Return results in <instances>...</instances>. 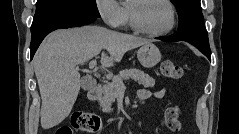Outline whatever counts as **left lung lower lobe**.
Instances as JSON below:
<instances>
[{
    "label": "left lung lower lobe",
    "instance_id": "left-lung-lower-lobe-1",
    "mask_svg": "<svg viewBox=\"0 0 239 134\" xmlns=\"http://www.w3.org/2000/svg\"><path fill=\"white\" fill-rule=\"evenodd\" d=\"M162 41L175 42V41H187L198 48L208 59L211 60V51L208 41V33L187 31L178 34H173L170 37H160Z\"/></svg>",
    "mask_w": 239,
    "mask_h": 134
}]
</instances>
